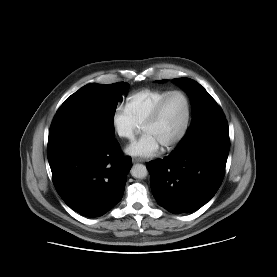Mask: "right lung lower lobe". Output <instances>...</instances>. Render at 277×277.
Instances as JSON below:
<instances>
[{"mask_svg": "<svg viewBox=\"0 0 277 277\" xmlns=\"http://www.w3.org/2000/svg\"><path fill=\"white\" fill-rule=\"evenodd\" d=\"M47 156L63 201L86 217L105 214L122 198L132 159L114 137L76 119H54Z\"/></svg>", "mask_w": 277, "mask_h": 277, "instance_id": "1", "label": "right lung lower lobe"}]
</instances>
